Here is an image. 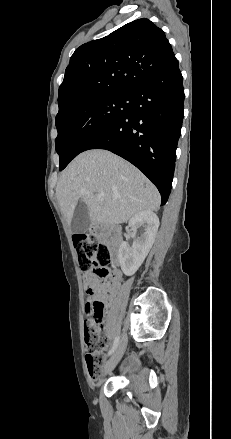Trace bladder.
I'll return each instance as SVG.
<instances>
[{
  "instance_id": "bladder-1",
  "label": "bladder",
  "mask_w": 231,
  "mask_h": 439,
  "mask_svg": "<svg viewBox=\"0 0 231 439\" xmlns=\"http://www.w3.org/2000/svg\"><path fill=\"white\" fill-rule=\"evenodd\" d=\"M139 370V362L137 359H131L128 361L126 366V371L128 374L133 375L136 374Z\"/></svg>"
}]
</instances>
